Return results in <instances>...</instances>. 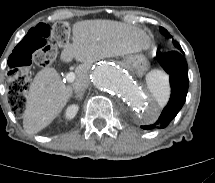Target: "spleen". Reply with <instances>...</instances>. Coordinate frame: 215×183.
<instances>
[{
  "mask_svg": "<svg viewBox=\"0 0 215 183\" xmlns=\"http://www.w3.org/2000/svg\"><path fill=\"white\" fill-rule=\"evenodd\" d=\"M146 82L159 105H165L170 93L168 76L160 70H153L146 75Z\"/></svg>",
  "mask_w": 215,
  "mask_h": 183,
  "instance_id": "spleen-1",
  "label": "spleen"
}]
</instances>
